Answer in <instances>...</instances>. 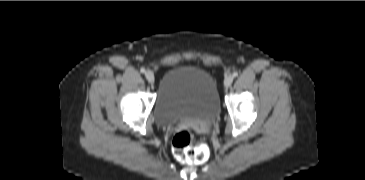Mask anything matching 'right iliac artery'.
I'll use <instances>...</instances> for the list:
<instances>
[{
	"instance_id": "82829eb1",
	"label": "right iliac artery",
	"mask_w": 365,
	"mask_h": 180,
	"mask_svg": "<svg viewBox=\"0 0 365 180\" xmlns=\"http://www.w3.org/2000/svg\"><path fill=\"white\" fill-rule=\"evenodd\" d=\"M140 72H141V73H145V72H146L145 68H141V69H140Z\"/></svg>"
}]
</instances>
